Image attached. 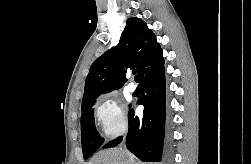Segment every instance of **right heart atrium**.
I'll use <instances>...</instances> for the list:
<instances>
[{
    "label": "right heart atrium",
    "mask_w": 251,
    "mask_h": 164,
    "mask_svg": "<svg viewBox=\"0 0 251 164\" xmlns=\"http://www.w3.org/2000/svg\"><path fill=\"white\" fill-rule=\"evenodd\" d=\"M95 116L103 136L113 140L128 127V118L123 105L112 97L105 98L96 108Z\"/></svg>",
    "instance_id": "obj_1"
}]
</instances>
